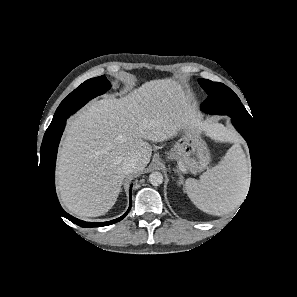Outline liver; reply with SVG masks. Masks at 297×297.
<instances>
[{"label": "liver", "instance_id": "1", "mask_svg": "<svg viewBox=\"0 0 297 297\" xmlns=\"http://www.w3.org/2000/svg\"><path fill=\"white\" fill-rule=\"evenodd\" d=\"M185 125L210 128L172 79L146 82L120 99L92 101L67 121L56 167L63 206L79 217L104 215L126 177L123 162L134 156V172L143 171L152 155L148 141L168 140Z\"/></svg>", "mask_w": 297, "mask_h": 297}]
</instances>
